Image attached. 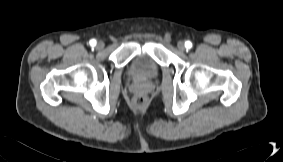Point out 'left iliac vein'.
<instances>
[{
    "instance_id": "1",
    "label": "left iliac vein",
    "mask_w": 283,
    "mask_h": 162,
    "mask_svg": "<svg viewBox=\"0 0 283 162\" xmlns=\"http://www.w3.org/2000/svg\"><path fill=\"white\" fill-rule=\"evenodd\" d=\"M177 48H178V50L179 51H184L185 50V43L183 42V41H179L178 43H177Z\"/></svg>"
}]
</instances>
